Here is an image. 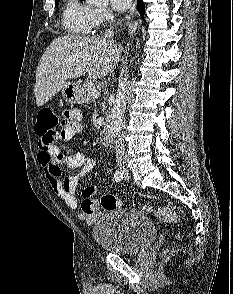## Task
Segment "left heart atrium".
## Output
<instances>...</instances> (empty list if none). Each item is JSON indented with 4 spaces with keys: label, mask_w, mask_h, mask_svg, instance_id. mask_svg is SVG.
<instances>
[{
    "label": "left heart atrium",
    "mask_w": 233,
    "mask_h": 294,
    "mask_svg": "<svg viewBox=\"0 0 233 294\" xmlns=\"http://www.w3.org/2000/svg\"><path fill=\"white\" fill-rule=\"evenodd\" d=\"M110 1H111V5L115 9L120 11L127 9L132 2V0H110Z\"/></svg>",
    "instance_id": "1"
}]
</instances>
